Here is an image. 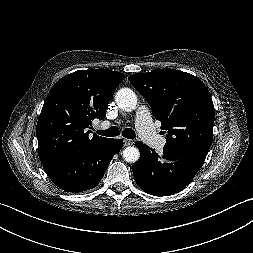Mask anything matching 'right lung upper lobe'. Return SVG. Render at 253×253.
I'll use <instances>...</instances> for the list:
<instances>
[{"mask_svg": "<svg viewBox=\"0 0 253 253\" xmlns=\"http://www.w3.org/2000/svg\"><path fill=\"white\" fill-rule=\"evenodd\" d=\"M125 79L108 69L79 70L61 78L50 90L38 118L36 135L42 163L84 151L109 138L87 131L92 121L106 116L117 86Z\"/></svg>", "mask_w": 253, "mask_h": 253, "instance_id": "cb5924a9", "label": "right lung upper lobe"}]
</instances>
